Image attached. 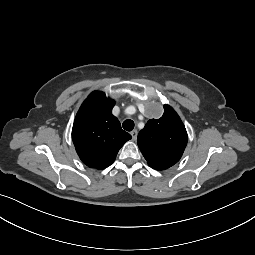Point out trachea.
Returning <instances> with one entry per match:
<instances>
[{
  "mask_svg": "<svg viewBox=\"0 0 255 255\" xmlns=\"http://www.w3.org/2000/svg\"><path fill=\"white\" fill-rule=\"evenodd\" d=\"M123 126V129L126 130V131H132L133 128H134V122L130 119H127L123 122L122 124Z\"/></svg>",
  "mask_w": 255,
  "mask_h": 255,
  "instance_id": "trachea-1",
  "label": "trachea"
}]
</instances>
